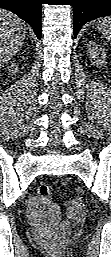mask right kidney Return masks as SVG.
I'll return each instance as SVG.
<instances>
[{
  "instance_id": "obj_1",
  "label": "right kidney",
  "mask_w": 111,
  "mask_h": 257,
  "mask_svg": "<svg viewBox=\"0 0 111 257\" xmlns=\"http://www.w3.org/2000/svg\"><path fill=\"white\" fill-rule=\"evenodd\" d=\"M8 71H9V73H11V72H15V71H17V69L16 68H13V69H8Z\"/></svg>"
}]
</instances>
